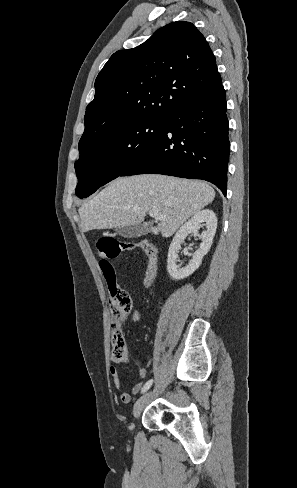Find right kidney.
Segmentation results:
<instances>
[{
	"label": "right kidney",
	"instance_id": "right-kidney-1",
	"mask_svg": "<svg viewBox=\"0 0 297 488\" xmlns=\"http://www.w3.org/2000/svg\"><path fill=\"white\" fill-rule=\"evenodd\" d=\"M204 224L207 230L201 235L198 230ZM217 218L212 210L205 209L197 212L187 222H185L175 234L168 252L167 270L169 275L175 280H181L191 275L201 265L203 257L209 252L213 238L216 233ZM190 234L198 236L201 239L199 249L194 252L189 264L185 267L177 266L178 252L181 249V244L184 243L186 237Z\"/></svg>",
	"mask_w": 297,
	"mask_h": 488
}]
</instances>
